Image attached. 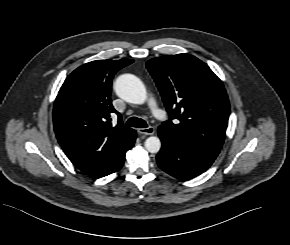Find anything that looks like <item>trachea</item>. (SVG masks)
I'll use <instances>...</instances> for the list:
<instances>
[{
  "instance_id": "trachea-1",
  "label": "trachea",
  "mask_w": 290,
  "mask_h": 245,
  "mask_svg": "<svg viewBox=\"0 0 290 245\" xmlns=\"http://www.w3.org/2000/svg\"><path fill=\"white\" fill-rule=\"evenodd\" d=\"M126 125L130 127H137V128L147 127L146 121L138 117H131L130 119L127 120Z\"/></svg>"
}]
</instances>
